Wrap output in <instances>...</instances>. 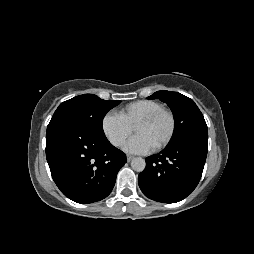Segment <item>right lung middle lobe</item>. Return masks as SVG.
<instances>
[{
    "label": "right lung middle lobe",
    "instance_id": "1",
    "mask_svg": "<svg viewBox=\"0 0 254 254\" xmlns=\"http://www.w3.org/2000/svg\"><path fill=\"white\" fill-rule=\"evenodd\" d=\"M120 100L106 101L93 94H84L59 105L50 123L69 121L92 131L104 133L102 122L106 113Z\"/></svg>",
    "mask_w": 254,
    "mask_h": 254
}]
</instances>
